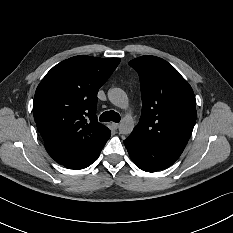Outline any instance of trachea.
Returning <instances> with one entry per match:
<instances>
[{
    "label": "trachea",
    "mask_w": 233,
    "mask_h": 233,
    "mask_svg": "<svg viewBox=\"0 0 233 233\" xmlns=\"http://www.w3.org/2000/svg\"><path fill=\"white\" fill-rule=\"evenodd\" d=\"M120 119H121L120 115L113 110L106 111L102 113L101 116L99 117V120L101 122H109V121L119 122Z\"/></svg>",
    "instance_id": "1"
}]
</instances>
